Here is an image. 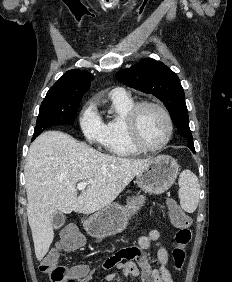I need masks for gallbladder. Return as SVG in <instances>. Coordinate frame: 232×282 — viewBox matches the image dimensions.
<instances>
[{
	"label": "gallbladder",
	"mask_w": 232,
	"mask_h": 282,
	"mask_svg": "<svg viewBox=\"0 0 232 282\" xmlns=\"http://www.w3.org/2000/svg\"><path fill=\"white\" fill-rule=\"evenodd\" d=\"M65 220H66L65 215L62 212L57 211L52 216V226L55 229H58L64 225Z\"/></svg>",
	"instance_id": "obj_1"
}]
</instances>
